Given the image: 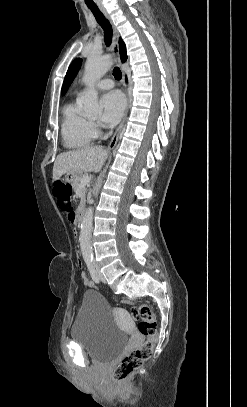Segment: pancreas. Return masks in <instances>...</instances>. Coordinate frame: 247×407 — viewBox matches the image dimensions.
<instances>
[{
    "label": "pancreas",
    "mask_w": 247,
    "mask_h": 407,
    "mask_svg": "<svg viewBox=\"0 0 247 407\" xmlns=\"http://www.w3.org/2000/svg\"><path fill=\"white\" fill-rule=\"evenodd\" d=\"M81 180H82V176H76L72 182L73 189L76 192H79V194H80L81 201H80L79 207H82L86 201L85 200L86 187H85V185L81 186Z\"/></svg>",
    "instance_id": "cf45deb5"
}]
</instances>
